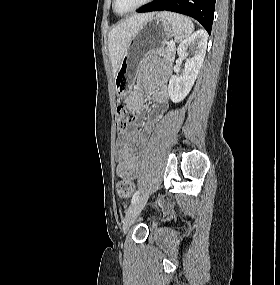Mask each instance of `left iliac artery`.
<instances>
[{
  "mask_svg": "<svg viewBox=\"0 0 280 285\" xmlns=\"http://www.w3.org/2000/svg\"><path fill=\"white\" fill-rule=\"evenodd\" d=\"M139 195H140V190H137L132 197V200H131L132 204L138 199Z\"/></svg>",
  "mask_w": 280,
  "mask_h": 285,
  "instance_id": "obj_1",
  "label": "left iliac artery"
}]
</instances>
